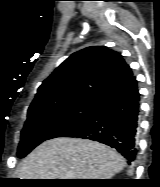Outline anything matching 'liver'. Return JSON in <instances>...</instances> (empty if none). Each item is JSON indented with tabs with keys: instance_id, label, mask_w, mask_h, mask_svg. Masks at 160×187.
Segmentation results:
<instances>
[{
	"instance_id": "1",
	"label": "liver",
	"mask_w": 160,
	"mask_h": 187,
	"mask_svg": "<svg viewBox=\"0 0 160 187\" xmlns=\"http://www.w3.org/2000/svg\"><path fill=\"white\" fill-rule=\"evenodd\" d=\"M126 162L113 148L81 138L58 137L35 148L20 164V179H111Z\"/></svg>"
}]
</instances>
